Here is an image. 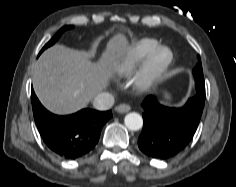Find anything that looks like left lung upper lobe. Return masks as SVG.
I'll use <instances>...</instances> for the list:
<instances>
[{"instance_id":"1","label":"left lung upper lobe","mask_w":236,"mask_h":187,"mask_svg":"<svg viewBox=\"0 0 236 187\" xmlns=\"http://www.w3.org/2000/svg\"><path fill=\"white\" fill-rule=\"evenodd\" d=\"M193 75L195 79V87L197 92L205 95V82L200 58L196 67L193 69Z\"/></svg>"}]
</instances>
